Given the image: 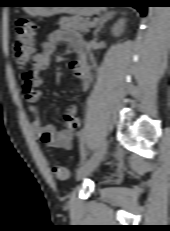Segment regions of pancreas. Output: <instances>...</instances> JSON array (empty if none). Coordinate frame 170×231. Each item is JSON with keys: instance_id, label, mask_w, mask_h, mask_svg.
I'll use <instances>...</instances> for the list:
<instances>
[{"instance_id": "obj_1", "label": "pancreas", "mask_w": 170, "mask_h": 231, "mask_svg": "<svg viewBox=\"0 0 170 231\" xmlns=\"http://www.w3.org/2000/svg\"><path fill=\"white\" fill-rule=\"evenodd\" d=\"M91 22L89 19H83L79 17H62L59 20V25L61 29L70 31H79L86 33L89 30Z\"/></svg>"}]
</instances>
